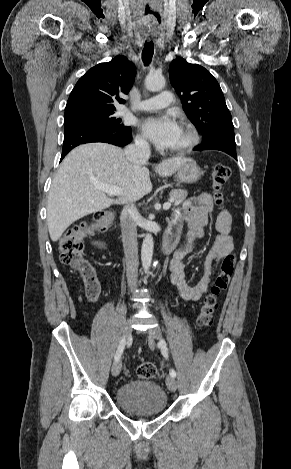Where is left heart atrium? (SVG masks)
<instances>
[{"mask_svg":"<svg viewBox=\"0 0 291 469\" xmlns=\"http://www.w3.org/2000/svg\"><path fill=\"white\" fill-rule=\"evenodd\" d=\"M141 129L147 138L161 148H171L180 131L178 123L169 114L146 118Z\"/></svg>","mask_w":291,"mask_h":469,"instance_id":"obj_1","label":"left heart atrium"}]
</instances>
